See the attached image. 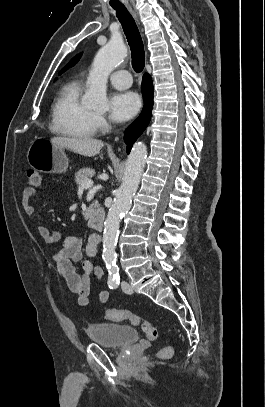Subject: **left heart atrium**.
I'll return each instance as SVG.
<instances>
[{
	"label": "left heart atrium",
	"instance_id": "left-heart-atrium-1",
	"mask_svg": "<svg viewBox=\"0 0 265 407\" xmlns=\"http://www.w3.org/2000/svg\"><path fill=\"white\" fill-rule=\"evenodd\" d=\"M140 105V98L136 93L116 92L110 99V115L115 121H127L136 115Z\"/></svg>",
	"mask_w": 265,
	"mask_h": 407
}]
</instances>
